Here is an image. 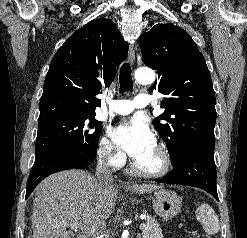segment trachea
Listing matches in <instances>:
<instances>
[{"label":"trachea","mask_w":247,"mask_h":238,"mask_svg":"<svg viewBox=\"0 0 247 238\" xmlns=\"http://www.w3.org/2000/svg\"><path fill=\"white\" fill-rule=\"evenodd\" d=\"M119 82H120V90H119L120 93L131 91L133 89L131 67L128 63H124L120 68Z\"/></svg>","instance_id":"trachea-1"}]
</instances>
